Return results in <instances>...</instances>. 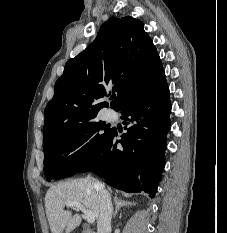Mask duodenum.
<instances>
[{
  "instance_id": "1",
  "label": "duodenum",
  "mask_w": 227,
  "mask_h": 233,
  "mask_svg": "<svg viewBox=\"0 0 227 233\" xmlns=\"http://www.w3.org/2000/svg\"><path fill=\"white\" fill-rule=\"evenodd\" d=\"M83 233H94V232H91V231H85V232H83Z\"/></svg>"
}]
</instances>
